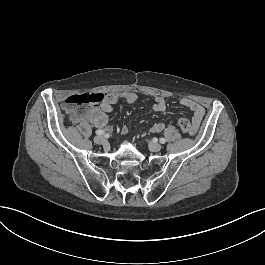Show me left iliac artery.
<instances>
[{
  "mask_svg": "<svg viewBox=\"0 0 265 265\" xmlns=\"http://www.w3.org/2000/svg\"><path fill=\"white\" fill-rule=\"evenodd\" d=\"M166 142V140L164 138L160 139V143L164 144Z\"/></svg>",
  "mask_w": 265,
  "mask_h": 265,
  "instance_id": "1",
  "label": "left iliac artery"
}]
</instances>
